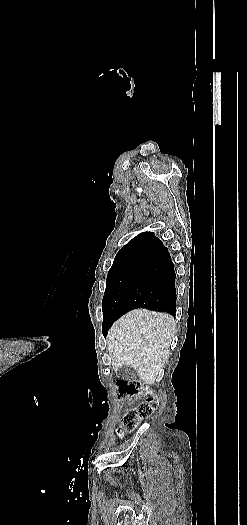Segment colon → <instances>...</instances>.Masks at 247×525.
Here are the masks:
<instances>
[{
    "label": "colon",
    "instance_id": "obj_1",
    "mask_svg": "<svg viewBox=\"0 0 247 525\" xmlns=\"http://www.w3.org/2000/svg\"><path fill=\"white\" fill-rule=\"evenodd\" d=\"M117 392L120 398L131 400L145 396L136 407L125 414L122 422L124 432L135 429L142 420L151 416L155 406V397L145 383L121 379L117 382Z\"/></svg>",
    "mask_w": 247,
    "mask_h": 525
}]
</instances>
